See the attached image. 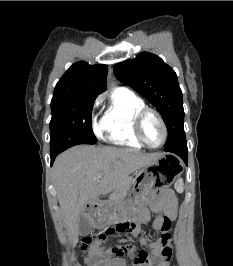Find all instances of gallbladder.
Wrapping results in <instances>:
<instances>
[{"mask_svg": "<svg viewBox=\"0 0 233 266\" xmlns=\"http://www.w3.org/2000/svg\"><path fill=\"white\" fill-rule=\"evenodd\" d=\"M93 227L90 224V220L83 214H80L78 220V232L80 236H86L91 233Z\"/></svg>", "mask_w": 233, "mask_h": 266, "instance_id": "gallbladder-1", "label": "gallbladder"}]
</instances>
